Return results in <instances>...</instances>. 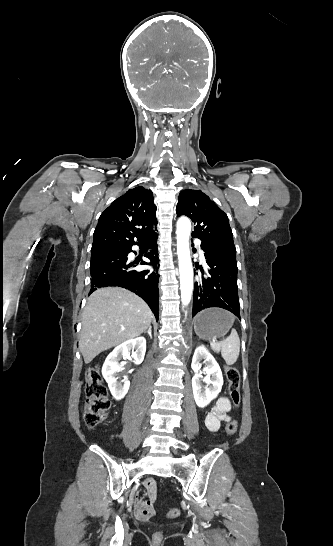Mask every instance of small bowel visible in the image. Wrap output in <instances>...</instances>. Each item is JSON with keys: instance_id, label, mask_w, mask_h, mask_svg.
<instances>
[{"instance_id": "obj_1", "label": "small bowel", "mask_w": 333, "mask_h": 546, "mask_svg": "<svg viewBox=\"0 0 333 546\" xmlns=\"http://www.w3.org/2000/svg\"><path fill=\"white\" fill-rule=\"evenodd\" d=\"M231 404L225 397L219 398L205 417V426L210 432H217L220 429L221 422L230 420L229 411ZM156 483L153 479H148L144 484V489L140 491L135 503L134 514L138 519L146 520L154 515L153 503L156 499Z\"/></svg>"}]
</instances>
